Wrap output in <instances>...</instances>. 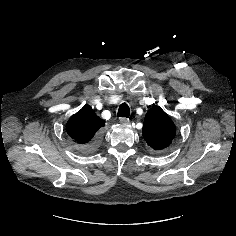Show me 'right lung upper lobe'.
I'll list each match as a JSON object with an SVG mask.
<instances>
[{"mask_svg": "<svg viewBox=\"0 0 236 236\" xmlns=\"http://www.w3.org/2000/svg\"><path fill=\"white\" fill-rule=\"evenodd\" d=\"M104 123L105 121L95 114L92 107L85 105L68 120L66 130L73 141L83 145L93 139Z\"/></svg>", "mask_w": 236, "mask_h": 236, "instance_id": "right-lung-upper-lobe-1", "label": "right lung upper lobe"}]
</instances>
